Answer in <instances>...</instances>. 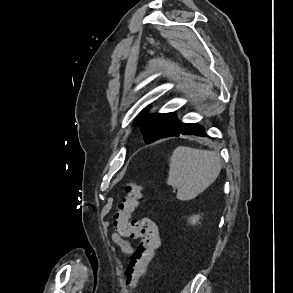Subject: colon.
Wrapping results in <instances>:
<instances>
[{
    "label": "colon",
    "mask_w": 293,
    "mask_h": 293,
    "mask_svg": "<svg viewBox=\"0 0 293 293\" xmlns=\"http://www.w3.org/2000/svg\"><path fill=\"white\" fill-rule=\"evenodd\" d=\"M126 195L114 216V225L118 233L127 238H140V244L133 252L126 267V281L136 286L156 250L160 247L158 225L150 218L130 220V215L142 196V188L131 182L126 186Z\"/></svg>",
    "instance_id": "colon-1"
}]
</instances>
